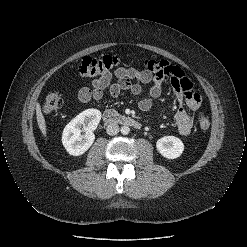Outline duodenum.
<instances>
[{"label":"duodenum","instance_id":"obj_1","mask_svg":"<svg viewBox=\"0 0 247 247\" xmlns=\"http://www.w3.org/2000/svg\"><path fill=\"white\" fill-rule=\"evenodd\" d=\"M103 120L107 124H121L136 129L141 128V123L136 119L125 115H120L115 111L109 109L103 113Z\"/></svg>","mask_w":247,"mask_h":247}]
</instances>
